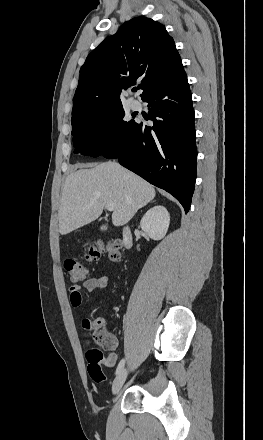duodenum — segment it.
Wrapping results in <instances>:
<instances>
[{
    "label": "duodenum",
    "mask_w": 263,
    "mask_h": 440,
    "mask_svg": "<svg viewBox=\"0 0 263 440\" xmlns=\"http://www.w3.org/2000/svg\"><path fill=\"white\" fill-rule=\"evenodd\" d=\"M121 240H122V244L125 249L128 250L132 247L133 238H132V233H131V230L129 229V227H127V226L123 227Z\"/></svg>",
    "instance_id": "1"
}]
</instances>
